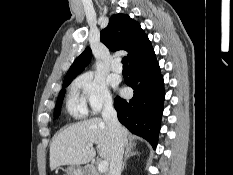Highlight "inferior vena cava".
<instances>
[{
	"mask_svg": "<svg viewBox=\"0 0 233 175\" xmlns=\"http://www.w3.org/2000/svg\"><path fill=\"white\" fill-rule=\"evenodd\" d=\"M102 117L108 124L110 136L113 139V155L109 166V175H121L124 142L122 128L117 118V112L114 109L113 102L111 100L105 102Z\"/></svg>",
	"mask_w": 233,
	"mask_h": 175,
	"instance_id": "obj_1",
	"label": "inferior vena cava"
}]
</instances>
